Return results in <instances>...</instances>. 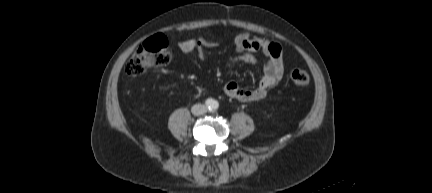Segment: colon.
<instances>
[{
    "instance_id": "5ec220e1",
    "label": "colon",
    "mask_w": 432,
    "mask_h": 193,
    "mask_svg": "<svg viewBox=\"0 0 432 193\" xmlns=\"http://www.w3.org/2000/svg\"><path fill=\"white\" fill-rule=\"evenodd\" d=\"M173 55L174 51L166 38L155 35L139 46L126 63L125 70L131 76H138L152 68L165 66L172 60ZM290 79L299 87H306L310 83L309 74L302 69L292 70Z\"/></svg>"
}]
</instances>
